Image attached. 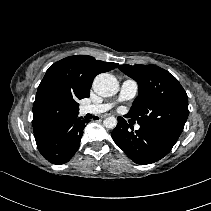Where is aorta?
<instances>
[{
  "label": "aorta",
  "mask_w": 211,
  "mask_h": 211,
  "mask_svg": "<svg viewBox=\"0 0 211 211\" xmlns=\"http://www.w3.org/2000/svg\"><path fill=\"white\" fill-rule=\"evenodd\" d=\"M92 87L99 96L110 97L118 92L119 83L113 75L102 73L95 77ZM103 124L106 128L113 129L117 125V119L113 116L108 117L103 121Z\"/></svg>",
  "instance_id": "1"
}]
</instances>
